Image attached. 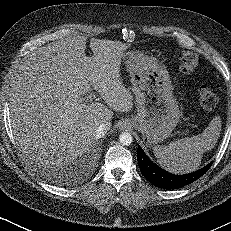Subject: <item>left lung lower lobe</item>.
I'll return each instance as SVG.
<instances>
[{"label":"left lung lower lobe","instance_id":"1","mask_svg":"<svg viewBox=\"0 0 231 231\" xmlns=\"http://www.w3.org/2000/svg\"><path fill=\"white\" fill-rule=\"evenodd\" d=\"M137 160L143 176L152 184L163 189H178L199 179L211 167L210 162L205 167L189 174L175 175L168 173L156 164H154L145 154L140 146H138Z\"/></svg>","mask_w":231,"mask_h":231}]
</instances>
